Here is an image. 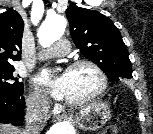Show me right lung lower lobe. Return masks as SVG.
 Instances as JSON below:
<instances>
[{
    "label": "right lung lower lobe",
    "instance_id": "right-lung-lower-lobe-1",
    "mask_svg": "<svg viewBox=\"0 0 153 134\" xmlns=\"http://www.w3.org/2000/svg\"><path fill=\"white\" fill-rule=\"evenodd\" d=\"M23 94L0 92V123L21 125L24 119Z\"/></svg>",
    "mask_w": 153,
    "mask_h": 134
}]
</instances>
